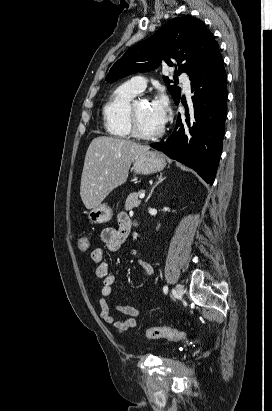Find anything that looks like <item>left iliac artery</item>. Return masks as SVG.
Masks as SVG:
<instances>
[{
  "mask_svg": "<svg viewBox=\"0 0 272 411\" xmlns=\"http://www.w3.org/2000/svg\"><path fill=\"white\" fill-rule=\"evenodd\" d=\"M163 291H164L165 294H167V292H168V287H167V286H164V287H163Z\"/></svg>",
  "mask_w": 272,
  "mask_h": 411,
  "instance_id": "1",
  "label": "left iliac artery"
}]
</instances>
